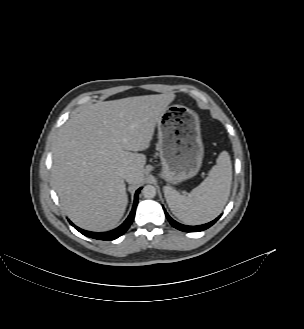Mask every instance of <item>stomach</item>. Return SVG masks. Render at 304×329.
Segmentation results:
<instances>
[{"mask_svg": "<svg viewBox=\"0 0 304 329\" xmlns=\"http://www.w3.org/2000/svg\"><path fill=\"white\" fill-rule=\"evenodd\" d=\"M160 177L178 184L194 177L201 168L204 147L196 113L183 105H170L158 122Z\"/></svg>", "mask_w": 304, "mask_h": 329, "instance_id": "1", "label": "stomach"}]
</instances>
